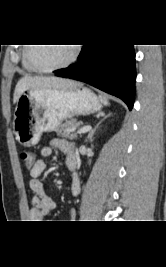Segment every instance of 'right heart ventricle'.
Segmentation results:
<instances>
[{"instance_id":"obj_1","label":"right heart ventricle","mask_w":166,"mask_h":267,"mask_svg":"<svg viewBox=\"0 0 166 267\" xmlns=\"http://www.w3.org/2000/svg\"><path fill=\"white\" fill-rule=\"evenodd\" d=\"M26 51H27V48H26V46H24V48L22 49V52H21V63H22V66L27 72H36V70L33 67H31L30 64L27 61Z\"/></svg>"}]
</instances>
